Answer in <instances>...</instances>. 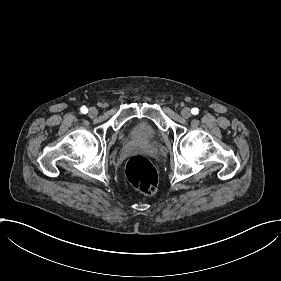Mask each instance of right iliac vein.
<instances>
[{"mask_svg": "<svg viewBox=\"0 0 281 281\" xmlns=\"http://www.w3.org/2000/svg\"><path fill=\"white\" fill-rule=\"evenodd\" d=\"M89 114H90V116H92V117H95V116H97V114H98V111H97V109H95V108H90L89 109Z\"/></svg>", "mask_w": 281, "mask_h": 281, "instance_id": "63e3f726", "label": "right iliac vein"}]
</instances>
